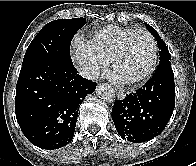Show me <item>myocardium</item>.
<instances>
[{
  "instance_id": "obj_1",
  "label": "myocardium",
  "mask_w": 196,
  "mask_h": 166,
  "mask_svg": "<svg viewBox=\"0 0 196 166\" xmlns=\"http://www.w3.org/2000/svg\"><path fill=\"white\" fill-rule=\"evenodd\" d=\"M136 33H144L150 39L151 46H152V60H151L150 65L148 66V68L140 76H138L132 80L125 81V83L130 84V85L139 84V83L146 81L155 71L156 66H157V62H158V45H157V42H156L154 36L147 29L136 28V29L132 30L128 35L125 36L118 51L114 55L113 60H112L113 70L116 71L118 63L120 62V60L122 59V57L125 55V53L127 51L128 44H129L131 38Z\"/></svg>"
}]
</instances>
